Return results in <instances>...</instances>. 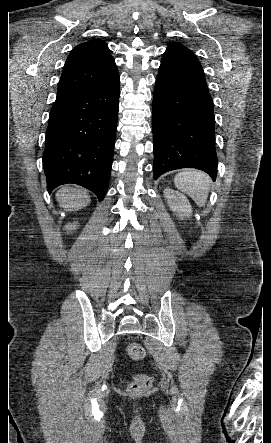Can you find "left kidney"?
Segmentation results:
<instances>
[{"label":"left kidney","mask_w":271,"mask_h":443,"mask_svg":"<svg viewBox=\"0 0 271 443\" xmlns=\"http://www.w3.org/2000/svg\"><path fill=\"white\" fill-rule=\"evenodd\" d=\"M163 194L167 198V202L173 212H178L179 216H191L192 210L189 200L183 194L170 190V188H166Z\"/></svg>","instance_id":"5707ae66"}]
</instances>
